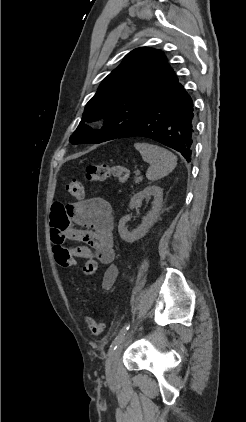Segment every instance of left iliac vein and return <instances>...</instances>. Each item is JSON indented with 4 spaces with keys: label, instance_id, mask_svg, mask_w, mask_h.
Listing matches in <instances>:
<instances>
[{
    "label": "left iliac vein",
    "instance_id": "obj_1",
    "mask_svg": "<svg viewBox=\"0 0 246 422\" xmlns=\"http://www.w3.org/2000/svg\"><path fill=\"white\" fill-rule=\"evenodd\" d=\"M123 342H124V337L122 338L117 348L111 353L106 363V378L108 382H112L116 378L117 364H118V360L122 351Z\"/></svg>",
    "mask_w": 246,
    "mask_h": 422
}]
</instances>
